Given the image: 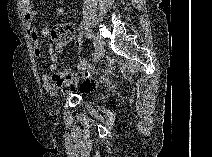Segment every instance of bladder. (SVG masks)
Instances as JSON below:
<instances>
[{
  "instance_id": "obj_1",
  "label": "bladder",
  "mask_w": 212,
  "mask_h": 157,
  "mask_svg": "<svg viewBox=\"0 0 212 157\" xmlns=\"http://www.w3.org/2000/svg\"><path fill=\"white\" fill-rule=\"evenodd\" d=\"M101 100H102V97H101V96H97V97H96V101H97V102H101Z\"/></svg>"
}]
</instances>
